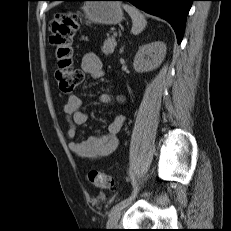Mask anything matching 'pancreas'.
<instances>
[{
    "label": "pancreas",
    "mask_w": 231,
    "mask_h": 231,
    "mask_svg": "<svg viewBox=\"0 0 231 231\" xmlns=\"http://www.w3.org/2000/svg\"><path fill=\"white\" fill-rule=\"evenodd\" d=\"M117 42L114 37H108L103 44L102 52L105 55H110L114 52Z\"/></svg>",
    "instance_id": "cf45deb5"
}]
</instances>
